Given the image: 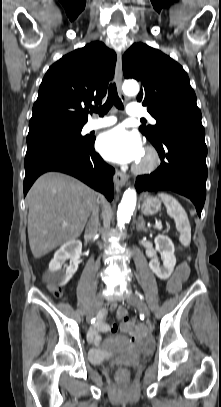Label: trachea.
<instances>
[{
  "label": "trachea",
  "instance_id": "3493384b",
  "mask_svg": "<svg viewBox=\"0 0 221 407\" xmlns=\"http://www.w3.org/2000/svg\"><path fill=\"white\" fill-rule=\"evenodd\" d=\"M113 105L120 110L123 109V103L118 96L115 83H111L109 85V92L106 102L102 106L94 108L93 111H96L100 116H103L111 109ZM141 120L145 121V119Z\"/></svg>",
  "mask_w": 221,
  "mask_h": 407
}]
</instances>
